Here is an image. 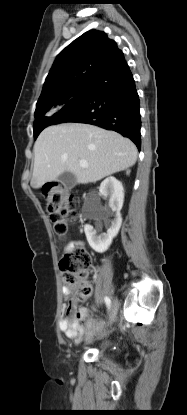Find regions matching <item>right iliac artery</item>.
Instances as JSON below:
<instances>
[{
	"label": "right iliac artery",
	"instance_id": "82829eb1",
	"mask_svg": "<svg viewBox=\"0 0 187 415\" xmlns=\"http://www.w3.org/2000/svg\"><path fill=\"white\" fill-rule=\"evenodd\" d=\"M105 303H106V306L108 307V309H110V307H111V300H110V298L109 297H105Z\"/></svg>",
	"mask_w": 187,
	"mask_h": 415
}]
</instances>
